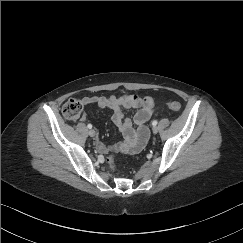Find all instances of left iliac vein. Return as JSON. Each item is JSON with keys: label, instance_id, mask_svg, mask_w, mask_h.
Masks as SVG:
<instances>
[{"label": "left iliac vein", "instance_id": "obj_1", "mask_svg": "<svg viewBox=\"0 0 243 243\" xmlns=\"http://www.w3.org/2000/svg\"><path fill=\"white\" fill-rule=\"evenodd\" d=\"M152 131H153L154 134H156L158 132V128L154 126Z\"/></svg>", "mask_w": 243, "mask_h": 243}]
</instances>
